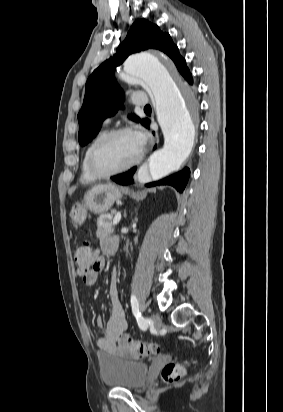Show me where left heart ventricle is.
Wrapping results in <instances>:
<instances>
[{
  "mask_svg": "<svg viewBox=\"0 0 283 412\" xmlns=\"http://www.w3.org/2000/svg\"><path fill=\"white\" fill-rule=\"evenodd\" d=\"M141 147L133 133L120 134L111 139L97 154L96 165L101 171H111L129 164Z\"/></svg>",
  "mask_w": 283,
  "mask_h": 412,
  "instance_id": "left-heart-ventricle-1",
  "label": "left heart ventricle"
}]
</instances>
